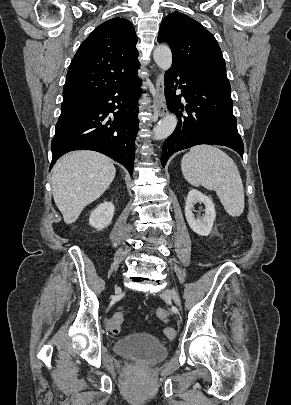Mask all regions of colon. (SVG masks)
<instances>
[{
	"label": "colon",
	"mask_w": 291,
	"mask_h": 405,
	"mask_svg": "<svg viewBox=\"0 0 291 405\" xmlns=\"http://www.w3.org/2000/svg\"><path fill=\"white\" fill-rule=\"evenodd\" d=\"M156 313L157 316L162 320H166L169 316L167 310L163 308H158ZM123 321L124 313L122 310H119L108 319L107 326L113 334H118L123 325ZM163 333L168 340H173L177 335L175 328L172 326H166L163 329Z\"/></svg>",
	"instance_id": "colon-1"
}]
</instances>
